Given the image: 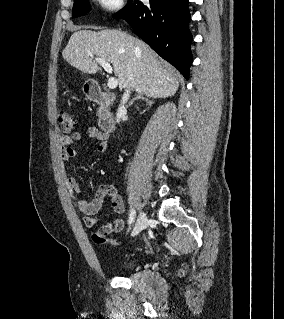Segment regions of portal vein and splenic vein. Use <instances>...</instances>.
Here are the masks:
<instances>
[{
    "mask_svg": "<svg viewBox=\"0 0 284 319\" xmlns=\"http://www.w3.org/2000/svg\"><path fill=\"white\" fill-rule=\"evenodd\" d=\"M95 61L100 64L107 73H112L113 70L109 62L101 58H95ZM107 86L109 89H115L118 86V80L114 77H110L108 79Z\"/></svg>",
    "mask_w": 284,
    "mask_h": 319,
    "instance_id": "portal-vein-and-splenic-vein-1",
    "label": "portal vein and splenic vein"
}]
</instances>
